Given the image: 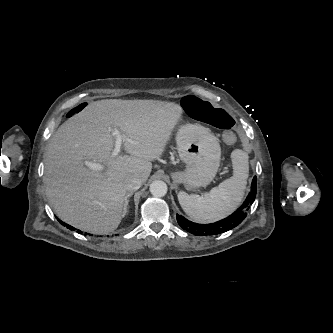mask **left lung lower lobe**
Segmentation results:
<instances>
[{
	"label": "left lung lower lobe",
	"mask_w": 333,
	"mask_h": 333,
	"mask_svg": "<svg viewBox=\"0 0 333 333\" xmlns=\"http://www.w3.org/2000/svg\"><path fill=\"white\" fill-rule=\"evenodd\" d=\"M256 184L257 177L255 176L252 180L251 191L245 202L241 208H239L228 218H225L214 224H197L187 220L183 216L177 215L178 224L187 232L198 236L216 235L233 229L239 225L247 216L246 211L249 209V206L254 202L256 197Z\"/></svg>",
	"instance_id": "obj_1"
}]
</instances>
